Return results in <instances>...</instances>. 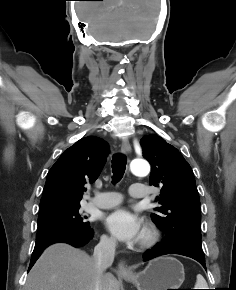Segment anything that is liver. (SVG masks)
I'll return each instance as SVG.
<instances>
[{
	"label": "liver",
	"instance_id": "1",
	"mask_svg": "<svg viewBox=\"0 0 236 290\" xmlns=\"http://www.w3.org/2000/svg\"><path fill=\"white\" fill-rule=\"evenodd\" d=\"M98 270L85 251L65 243L44 250L31 269L24 290H95ZM100 290H119L111 273L99 277Z\"/></svg>",
	"mask_w": 236,
	"mask_h": 290
}]
</instances>
